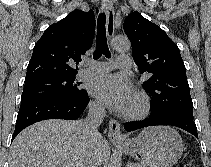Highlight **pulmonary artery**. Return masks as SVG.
<instances>
[{"instance_id":"e3ab8cb5","label":"pulmonary artery","mask_w":211,"mask_h":167,"mask_svg":"<svg viewBox=\"0 0 211 167\" xmlns=\"http://www.w3.org/2000/svg\"><path fill=\"white\" fill-rule=\"evenodd\" d=\"M132 67V60L127 55H120L115 62H97L88 64L78 72L79 78L109 72L113 68L129 70Z\"/></svg>"}]
</instances>
